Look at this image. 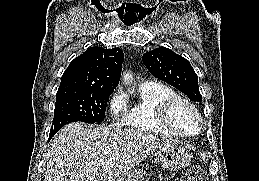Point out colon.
<instances>
[{"mask_svg": "<svg viewBox=\"0 0 259 181\" xmlns=\"http://www.w3.org/2000/svg\"><path fill=\"white\" fill-rule=\"evenodd\" d=\"M204 169L200 165L189 168L184 181H204Z\"/></svg>", "mask_w": 259, "mask_h": 181, "instance_id": "5ec220e1", "label": "colon"}]
</instances>
